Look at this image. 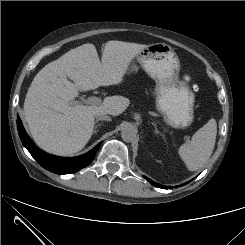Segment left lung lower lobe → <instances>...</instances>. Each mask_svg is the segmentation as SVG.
<instances>
[{
    "label": "left lung lower lobe",
    "instance_id": "1",
    "mask_svg": "<svg viewBox=\"0 0 245 245\" xmlns=\"http://www.w3.org/2000/svg\"><path fill=\"white\" fill-rule=\"evenodd\" d=\"M146 180H148L150 183H152L153 185L157 186V187H160V188H163V189H168V188H172L171 186L167 187V186H162L158 183H155L153 182L152 180H150L149 178L145 177ZM188 182H186L185 184H187ZM182 186V185H181ZM178 187V186H177Z\"/></svg>",
    "mask_w": 245,
    "mask_h": 245
}]
</instances>
